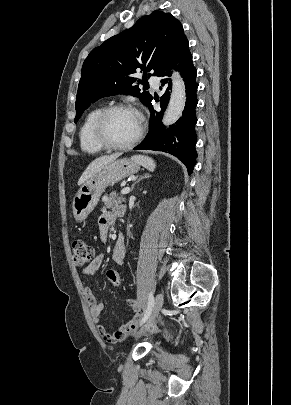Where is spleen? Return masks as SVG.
<instances>
[{"instance_id": "obj_1", "label": "spleen", "mask_w": 291, "mask_h": 405, "mask_svg": "<svg viewBox=\"0 0 291 405\" xmlns=\"http://www.w3.org/2000/svg\"><path fill=\"white\" fill-rule=\"evenodd\" d=\"M132 159L135 162H137L139 165H142L145 168H147L149 171H154V169H155L156 164H155L154 160L148 156L136 155V156H133Z\"/></svg>"}]
</instances>
